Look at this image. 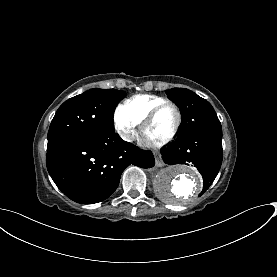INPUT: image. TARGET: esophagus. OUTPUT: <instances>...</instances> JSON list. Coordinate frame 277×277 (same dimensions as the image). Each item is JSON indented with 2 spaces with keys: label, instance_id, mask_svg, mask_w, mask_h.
<instances>
[{
  "label": "esophagus",
  "instance_id": "1",
  "mask_svg": "<svg viewBox=\"0 0 277 277\" xmlns=\"http://www.w3.org/2000/svg\"><path fill=\"white\" fill-rule=\"evenodd\" d=\"M156 166H157V167H162V166H164V163H163V161H162L161 158H157V159H156Z\"/></svg>",
  "mask_w": 277,
  "mask_h": 277
}]
</instances>
